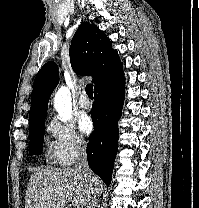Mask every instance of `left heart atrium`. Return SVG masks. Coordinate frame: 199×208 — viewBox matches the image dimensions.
<instances>
[{
    "mask_svg": "<svg viewBox=\"0 0 199 208\" xmlns=\"http://www.w3.org/2000/svg\"><path fill=\"white\" fill-rule=\"evenodd\" d=\"M78 128L82 134L89 135L94 129V123L87 114H82L78 120Z\"/></svg>",
    "mask_w": 199,
    "mask_h": 208,
    "instance_id": "1",
    "label": "left heart atrium"
}]
</instances>
